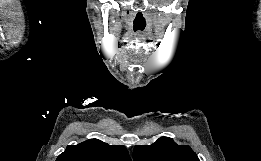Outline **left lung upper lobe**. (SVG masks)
Wrapping results in <instances>:
<instances>
[{
  "mask_svg": "<svg viewBox=\"0 0 261 161\" xmlns=\"http://www.w3.org/2000/svg\"><path fill=\"white\" fill-rule=\"evenodd\" d=\"M134 161H200L188 145H178L171 138L161 137L152 145H137Z\"/></svg>",
  "mask_w": 261,
  "mask_h": 161,
  "instance_id": "left-lung-upper-lobe-1",
  "label": "left lung upper lobe"
}]
</instances>
